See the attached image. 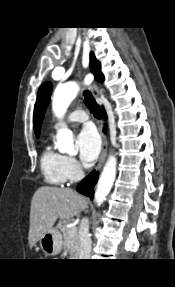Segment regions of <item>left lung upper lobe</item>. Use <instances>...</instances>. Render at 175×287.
Instances as JSON below:
<instances>
[{"mask_svg":"<svg viewBox=\"0 0 175 287\" xmlns=\"http://www.w3.org/2000/svg\"><path fill=\"white\" fill-rule=\"evenodd\" d=\"M90 67L95 79L97 81H103L104 76L101 73V66L99 61L96 60L94 53L90 54ZM51 90V85L49 83H44L38 91L37 101L34 106V130L36 137H39L40 134V126L43 121L44 112L50 100Z\"/></svg>","mask_w":175,"mask_h":287,"instance_id":"left-lung-upper-lobe-1","label":"left lung upper lobe"}]
</instances>
